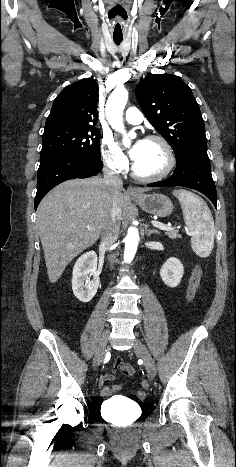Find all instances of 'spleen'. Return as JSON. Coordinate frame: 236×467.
<instances>
[{
	"instance_id": "spleen-1",
	"label": "spleen",
	"mask_w": 236,
	"mask_h": 467,
	"mask_svg": "<svg viewBox=\"0 0 236 467\" xmlns=\"http://www.w3.org/2000/svg\"><path fill=\"white\" fill-rule=\"evenodd\" d=\"M173 194L178 198L184 222L191 232V246L200 257H208L213 249L215 227L210 209L198 195L181 189Z\"/></svg>"
}]
</instances>
